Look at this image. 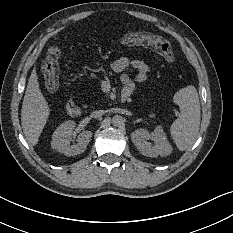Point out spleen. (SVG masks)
Returning a JSON list of instances; mask_svg holds the SVG:
<instances>
[{
  "label": "spleen",
  "instance_id": "1",
  "mask_svg": "<svg viewBox=\"0 0 233 233\" xmlns=\"http://www.w3.org/2000/svg\"><path fill=\"white\" fill-rule=\"evenodd\" d=\"M175 102L181 115L171 125V136L180 151L193 146L200 126V103L198 92L193 85H189L176 93Z\"/></svg>",
  "mask_w": 233,
  "mask_h": 233
}]
</instances>
